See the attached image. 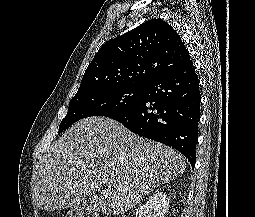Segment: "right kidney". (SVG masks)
Listing matches in <instances>:
<instances>
[{
  "mask_svg": "<svg viewBox=\"0 0 255 217\" xmlns=\"http://www.w3.org/2000/svg\"><path fill=\"white\" fill-rule=\"evenodd\" d=\"M169 208V199L163 192L149 197L147 202L136 210V217H165Z\"/></svg>",
  "mask_w": 255,
  "mask_h": 217,
  "instance_id": "ca27d5eb",
  "label": "right kidney"
}]
</instances>
